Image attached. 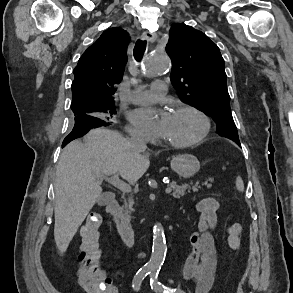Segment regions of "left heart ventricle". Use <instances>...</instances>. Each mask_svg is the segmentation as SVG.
Returning a JSON list of instances; mask_svg holds the SVG:
<instances>
[{
	"mask_svg": "<svg viewBox=\"0 0 293 293\" xmlns=\"http://www.w3.org/2000/svg\"><path fill=\"white\" fill-rule=\"evenodd\" d=\"M202 130L200 118L192 112H172L166 132L165 140L189 141L197 137Z\"/></svg>",
	"mask_w": 293,
	"mask_h": 293,
	"instance_id": "1",
	"label": "left heart ventricle"
}]
</instances>
